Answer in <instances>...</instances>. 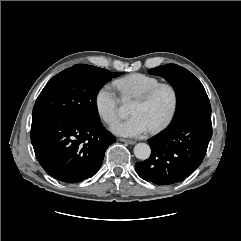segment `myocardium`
Returning <instances> with one entry per match:
<instances>
[{
    "label": "myocardium",
    "mask_w": 241,
    "mask_h": 241,
    "mask_svg": "<svg viewBox=\"0 0 241 241\" xmlns=\"http://www.w3.org/2000/svg\"><path fill=\"white\" fill-rule=\"evenodd\" d=\"M161 90H168L170 92L171 98H172V103H171L170 110H169L168 114L166 115V117L160 123H158L156 126L151 128L150 131L152 133H157V132L163 130L174 119L175 114L178 109V104H179L178 91L175 88V86H173L170 83H159L158 85L152 87L148 91L144 92L143 94H141L135 98V101H137L139 103H147L150 100H152Z\"/></svg>",
    "instance_id": "myocardium-1"
}]
</instances>
